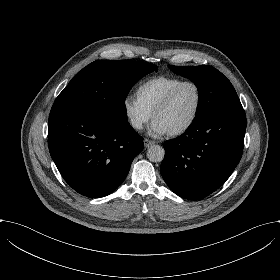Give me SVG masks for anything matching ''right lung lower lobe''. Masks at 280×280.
Listing matches in <instances>:
<instances>
[{
  "instance_id": "1",
  "label": "right lung lower lobe",
  "mask_w": 280,
  "mask_h": 280,
  "mask_svg": "<svg viewBox=\"0 0 280 280\" xmlns=\"http://www.w3.org/2000/svg\"><path fill=\"white\" fill-rule=\"evenodd\" d=\"M48 145L65 181L90 198L115 191L144 147L143 138L127 120L74 105H53Z\"/></svg>"
}]
</instances>
